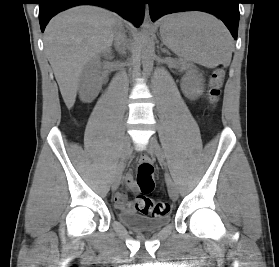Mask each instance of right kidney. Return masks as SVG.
<instances>
[{
  "label": "right kidney",
  "mask_w": 279,
  "mask_h": 267,
  "mask_svg": "<svg viewBox=\"0 0 279 267\" xmlns=\"http://www.w3.org/2000/svg\"><path fill=\"white\" fill-rule=\"evenodd\" d=\"M96 64V62H94ZM96 66V65H95ZM102 82L100 78L99 67L94 70L87 69L83 78L80 81V99L83 102H91L98 90L101 88Z\"/></svg>",
  "instance_id": "1"
}]
</instances>
